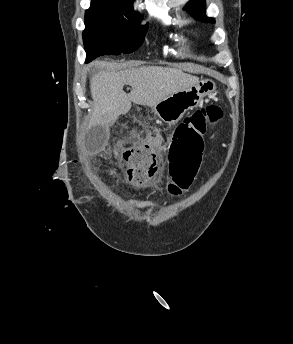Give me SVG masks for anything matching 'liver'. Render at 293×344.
<instances>
[{
  "mask_svg": "<svg viewBox=\"0 0 293 344\" xmlns=\"http://www.w3.org/2000/svg\"><path fill=\"white\" fill-rule=\"evenodd\" d=\"M198 82V77L169 67H140L95 74L90 81L94 100L92 125L107 128L131 109V102L153 107L164 98ZM124 85L132 87L129 94L123 91Z\"/></svg>",
  "mask_w": 293,
  "mask_h": 344,
  "instance_id": "6515ba94",
  "label": "liver"
}]
</instances>
